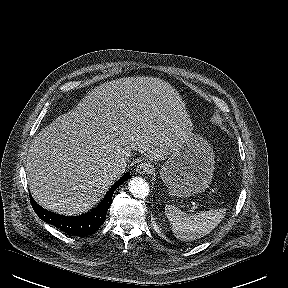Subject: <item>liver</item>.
<instances>
[{
	"label": "liver",
	"mask_w": 288,
	"mask_h": 288,
	"mask_svg": "<svg viewBox=\"0 0 288 288\" xmlns=\"http://www.w3.org/2000/svg\"><path fill=\"white\" fill-rule=\"evenodd\" d=\"M191 120L179 93L154 77L105 82L56 118L31 142L27 181L34 200L62 215L93 207L122 173L115 160L139 152L166 159L188 137Z\"/></svg>",
	"instance_id": "1"
}]
</instances>
